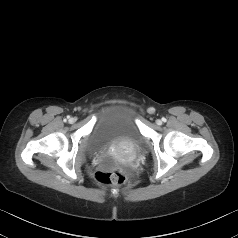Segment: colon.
<instances>
[{
    "instance_id": "colon-1",
    "label": "colon",
    "mask_w": 238,
    "mask_h": 238,
    "mask_svg": "<svg viewBox=\"0 0 238 238\" xmlns=\"http://www.w3.org/2000/svg\"><path fill=\"white\" fill-rule=\"evenodd\" d=\"M128 174L121 166H113L98 169L95 180L104 185H120L127 180Z\"/></svg>"
}]
</instances>
